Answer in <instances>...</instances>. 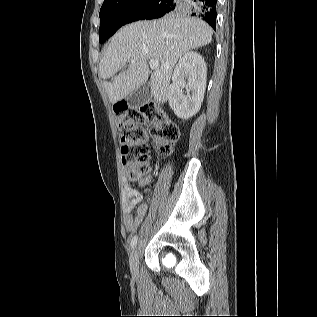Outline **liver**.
Listing matches in <instances>:
<instances>
[{
    "label": "liver",
    "instance_id": "liver-1",
    "mask_svg": "<svg viewBox=\"0 0 317 317\" xmlns=\"http://www.w3.org/2000/svg\"><path fill=\"white\" fill-rule=\"evenodd\" d=\"M212 35V28L201 19L175 14L122 27L105 48L99 64L109 101L115 104L145 84L149 77L147 61L158 59L150 88L155 101L165 103L178 59L189 50L211 43ZM126 63L128 67L117 75ZM109 78L111 82L106 81Z\"/></svg>",
    "mask_w": 317,
    "mask_h": 317
}]
</instances>
